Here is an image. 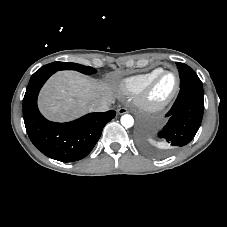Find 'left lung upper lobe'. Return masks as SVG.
I'll list each match as a JSON object with an SVG mask.
<instances>
[{
  "instance_id": "1",
  "label": "left lung upper lobe",
  "mask_w": 227,
  "mask_h": 227,
  "mask_svg": "<svg viewBox=\"0 0 227 227\" xmlns=\"http://www.w3.org/2000/svg\"><path fill=\"white\" fill-rule=\"evenodd\" d=\"M176 65L179 70L180 88L185 86H192L203 90L202 83L193 69L180 62H176Z\"/></svg>"
}]
</instances>
